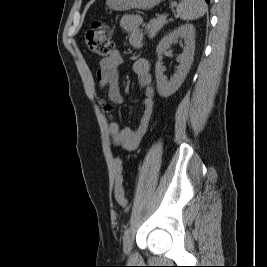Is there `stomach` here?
<instances>
[{
	"label": "stomach",
	"mask_w": 267,
	"mask_h": 267,
	"mask_svg": "<svg viewBox=\"0 0 267 267\" xmlns=\"http://www.w3.org/2000/svg\"><path fill=\"white\" fill-rule=\"evenodd\" d=\"M163 0H107L108 8L115 11H127L131 9L149 10Z\"/></svg>",
	"instance_id": "1"
}]
</instances>
